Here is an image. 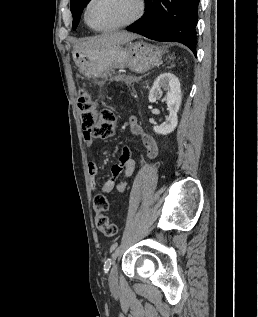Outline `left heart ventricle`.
I'll use <instances>...</instances> for the list:
<instances>
[{"mask_svg":"<svg viewBox=\"0 0 258 317\" xmlns=\"http://www.w3.org/2000/svg\"><path fill=\"white\" fill-rule=\"evenodd\" d=\"M135 12V3L129 0H94L88 18L94 26L107 28L129 20Z\"/></svg>","mask_w":258,"mask_h":317,"instance_id":"b2bd125f","label":"left heart ventricle"}]
</instances>
